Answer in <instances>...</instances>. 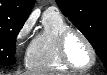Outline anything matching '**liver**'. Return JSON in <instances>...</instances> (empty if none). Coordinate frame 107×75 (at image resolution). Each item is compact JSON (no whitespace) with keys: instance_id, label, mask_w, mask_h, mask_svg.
<instances>
[{"instance_id":"obj_1","label":"liver","mask_w":107,"mask_h":75,"mask_svg":"<svg viewBox=\"0 0 107 75\" xmlns=\"http://www.w3.org/2000/svg\"><path fill=\"white\" fill-rule=\"evenodd\" d=\"M12 75H31V74L28 72H25V73L16 72L15 74H12Z\"/></svg>"}]
</instances>
